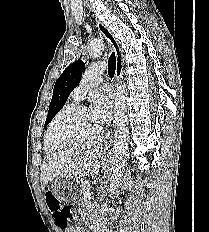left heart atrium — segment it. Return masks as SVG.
Segmentation results:
<instances>
[{"label": "left heart atrium", "mask_w": 209, "mask_h": 232, "mask_svg": "<svg viewBox=\"0 0 209 232\" xmlns=\"http://www.w3.org/2000/svg\"><path fill=\"white\" fill-rule=\"evenodd\" d=\"M112 105L113 97L110 89L105 88L103 91L94 95L91 111L98 122H103L109 117Z\"/></svg>", "instance_id": "1"}]
</instances>
